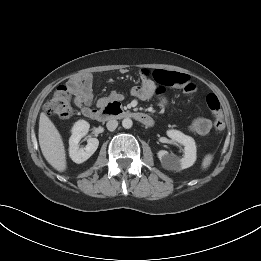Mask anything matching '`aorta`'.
I'll use <instances>...</instances> for the list:
<instances>
[{"mask_svg":"<svg viewBox=\"0 0 261 261\" xmlns=\"http://www.w3.org/2000/svg\"><path fill=\"white\" fill-rule=\"evenodd\" d=\"M133 125V122L130 118H125L122 120V126L125 128V129H130Z\"/></svg>","mask_w":261,"mask_h":261,"instance_id":"obj_1","label":"aorta"}]
</instances>
